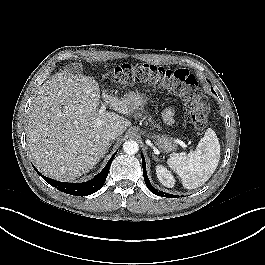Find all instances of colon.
<instances>
[{
  "label": "colon",
  "instance_id": "obj_1",
  "mask_svg": "<svg viewBox=\"0 0 265 265\" xmlns=\"http://www.w3.org/2000/svg\"><path fill=\"white\" fill-rule=\"evenodd\" d=\"M120 86L147 84L180 98L188 107L185 120L196 128L207 125L209 106L201 94L197 77L186 69H169L152 64H122L113 74Z\"/></svg>",
  "mask_w": 265,
  "mask_h": 265
}]
</instances>
